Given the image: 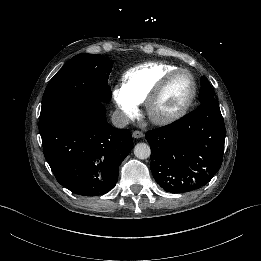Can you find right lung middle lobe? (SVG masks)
I'll return each mask as SVG.
<instances>
[{"label": "right lung middle lobe", "mask_w": 261, "mask_h": 261, "mask_svg": "<svg viewBox=\"0 0 261 261\" xmlns=\"http://www.w3.org/2000/svg\"><path fill=\"white\" fill-rule=\"evenodd\" d=\"M113 61L82 53L69 60L51 79L42 98L41 113L55 107L85 102H109L108 77Z\"/></svg>", "instance_id": "1"}]
</instances>
